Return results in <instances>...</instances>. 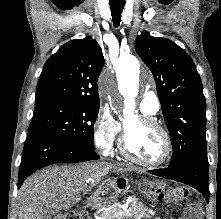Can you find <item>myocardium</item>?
Here are the masks:
<instances>
[{
    "label": "myocardium",
    "instance_id": "1",
    "mask_svg": "<svg viewBox=\"0 0 221 219\" xmlns=\"http://www.w3.org/2000/svg\"><path fill=\"white\" fill-rule=\"evenodd\" d=\"M138 120L142 124L153 127L161 133L163 137V141H164L163 154L158 160H155V161H145L136 157L127 147V143L125 139V130H124L123 136L120 141V147H119L121 155L124 156L126 159L138 165H141L143 167H147V168H158V167L165 165L171 158L172 151H173L172 141H171L169 132L160 122H158L157 120L151 117L140 116L138 117Z\"/></svg>",
    "mask_w": 221,
    "mask_h": 219
}]
</instances>
